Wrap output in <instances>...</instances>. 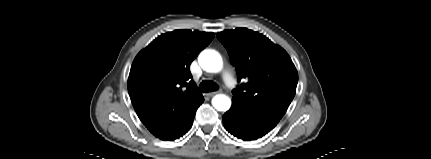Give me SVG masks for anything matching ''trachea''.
Here are the masks:
<instances>
[{
	"label": "trachea",
	"mask_w": 431,
	"mask_h": 159,
	"mask_svg": "<svg viewBox=\"0 0 431 159\" xmlns=\"http://www.w3.org/2000/svg\"><path fill=\"white\" fill-rule=\"evenodd\" d=\"M218 89V85L209 80H203L199 85V92L201 93H207L211 91H216Z\"/></svg>",
	"instance_id": "3493384b"
}]
</instances>
